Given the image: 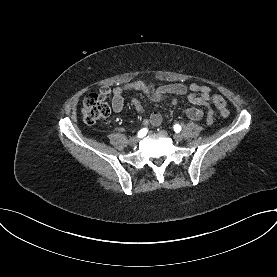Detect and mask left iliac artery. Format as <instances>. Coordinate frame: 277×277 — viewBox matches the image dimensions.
<instances>
[{"label":"left iliac artery","mask_w":277,"mask_h":277,"mask_svg":"<svg viewBox=\"0 0 277 277\" xmlns=\"http://www.w3.org/2000/svg\"><path fill=\"white\" fill-rule=\"evenodd\" d=\"M174 130H175L176 132H179V131L181 130V126L178 125V124L174 125Z\"/></svg>","instance_id":"left-iliac-artery-1"}]
</instances>
